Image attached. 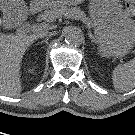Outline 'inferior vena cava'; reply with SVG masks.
I'll return each instance as SVG.
<instances>
[{
  "label": "inferior vena cava",
  "mask_w": 135,
  "mask_h": 135,
  "mask_svg": "<svg viewBox=\"0 0 135 135\" xmlns=\"http://www.w3.org/2000/svg\"><path fill=\"white\" fill-rule=\"evenodd\" d=\"M55 34H56L55 31H53V32L43 31V32L39 33V37L40 38H43V37H46V36L51 37V36H53Z\"/></svg>",
  "instance_id": "602c4592"
}]
</instances>
